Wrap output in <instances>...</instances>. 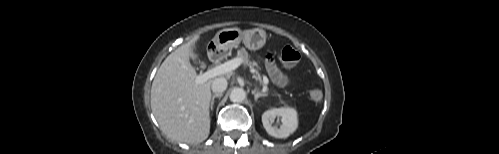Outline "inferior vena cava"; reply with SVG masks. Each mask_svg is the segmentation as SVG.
<instances>
[{
    "label": "inferior vena cava",
    "mask_w": 499,
    "mask_h": 154,
    "mask_svg": "<svg viewBox=\"0 0 499 154\" xmlns=\"http://www.w3.org/2000/svg\"><path fill=\"white\" fill-rule=\"evenodd\" d=\"M227 85V80L223 77H219L212 81L211 88L214 93L219 94L226 90Z\"/></svg>",
    "instance_id": "inferior-vena-cava-1"
}]
</instances>
